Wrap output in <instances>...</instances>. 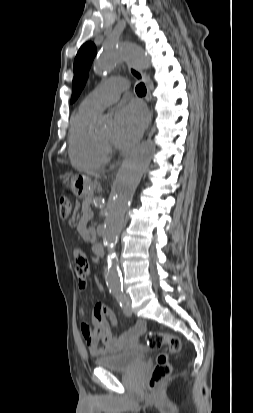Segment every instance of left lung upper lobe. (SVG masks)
Masks as SVG:
<instances>
[{"label": "left lung upper lobe", "mask_w": 253, "mask_h": 413, "mask_svg": "<svg viewBox=\"0 0 253 413\" xmlns=\"http://www.w3.org/2000/svg\"><path fill=\"white\" fill-rule=\"evenodd\" d=\"M96 52L97 49L94 43L87 42L81 46L76 55L74 60V78L72 84L71 103L78 98L83 87L85 86L88 78V72Z\"/></svg>", "instance_id": "5c2ea615"}]
</instances>
